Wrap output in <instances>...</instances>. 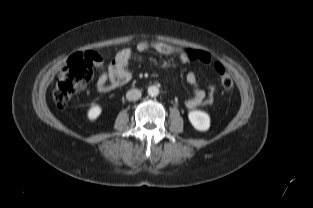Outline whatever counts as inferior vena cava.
I'll return each mask as SVG.
<instances>
[{
    "instance_id": "obj_1",
    "label": "inferior vena cava",
    "mask_w": 313,
    "mask_h": 208,
    "mask_svg": "<svg viewBox=\"0 0 313 208\" xmlns=\"http://www.w3.org/2000/svg\"><path fill=\"white\" fill-rule=\"evenodd\" d=\"M141 97V91L138 89H131L126 93V98L129 101H136Z\"/></svg>"
}]
</instances>
